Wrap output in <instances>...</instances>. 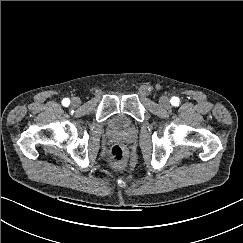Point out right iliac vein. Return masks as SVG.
<instances>
[{"label":"right iliac vein","mask_w":243,"mask_h":243,"mask_svg":"<svg viewBox=\"0 0 243 243\" xmlns=\"http://www.w3.org/2000/svg\"><path fill=\"white\" fill-rule=\"evenodd\" d=\"M80 103H81V100H80V98H78V97H75V98H73L72 100H71V104L73 105V106H79L80 105Z\"/></svg>","instance_id":"63e3f726"}]
</instances>
